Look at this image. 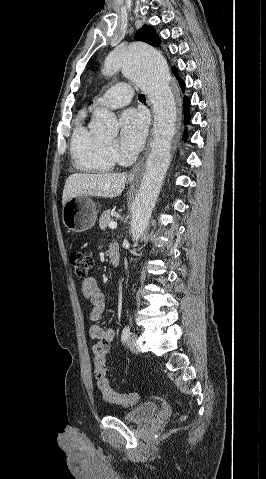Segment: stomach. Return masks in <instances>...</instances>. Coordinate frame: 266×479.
<instances>
[{
  "label": "stomach",
  "mask_w": 266,
  "mask_h": 479,
  "mask_svg": "<svg viewBox=\"0 0 266 479\" xmlns=\"http://www.w3.org/2000/svg\"><path fill=\"white\" fill-rule=\"evenodd\" d=\"M97 213L95 203L88 196L81 195L69 199L63 205L62 219L68 230L81 233L93 227Z\"/></svg>",
  "instance_id": "obj_1"
}]
</instances>
